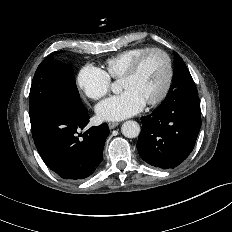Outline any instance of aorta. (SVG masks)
I'll return each instance as SVG.
<instances>
[{
	"instance_id": "obj_1",
	"label": "aorta",
	"mask_w": 232,
	"mask_h": 232,
	"mask_svg": "<svg viewBox=\"0 0 232 232\" xmlns=\"http://www.w3.org/2000/svg\"><path fill=\"white\" fill-rule=\"evenodd\" d=\"M118 86L114 84L112 90L117 92ZM122 134L127 138H135L140 133V126L136 121L128 120L121 127Z\"/></svg>"
}]
</instances>
